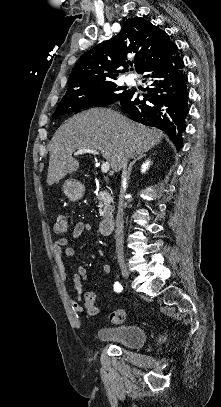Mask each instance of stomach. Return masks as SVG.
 <instances>
[{"mask_svg":"<svg viewBox=\"0 0 221 407\" xmlns=\"http://www.w3.org/2000/svg\"><path fill=\"white\" fill-rule=\"evenodd\" d=\"M63 192L70 201H78L83 197L84 186L75 179H68L63 185Z\"/></svg>","mask_w":221,"mask_h":407,"instance_id":"obj_1","label":"stomach"}]
</instances>
